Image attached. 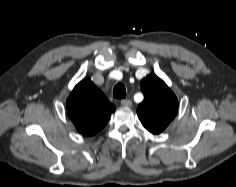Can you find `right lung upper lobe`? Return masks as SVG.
<instances>
[{
    "instance_id": "cb5924a9",
    "label": "right lung upper lobe",
    "mask_w": 236,
    "mask_h": 187,
    "mask_svg": "<svg viewBox=\"0 0 236 187\" xmlns=\"http://www.w3.org/2000/svg\"><path fill=\"white\" fill-rule=\"evenodd\" d=\"M66 105L76 129L85 136H92L103 129L115 111V106L90 79H84L74 87Z\"/></svg>"
}]
</instances>
